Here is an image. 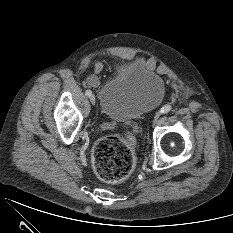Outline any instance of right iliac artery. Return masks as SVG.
I'll return each mask as SVG.
<instances>
[{
    "label": "right iliac artery",
    "instance_id": "right-iliac-artery-1",
    "mask_svg": "<svg viewBox=\"0 0 233 233\" xmlns=\"http://www.w3.org/2000/svg\"><path fill=\"white\" fill-rule=\"evenodd\" d=\"M92 94L91 90H86L85 95L90 96Z\"/></svg>",
    "mask_w": 233,
    "mask_h": 233
}]
</instances>
